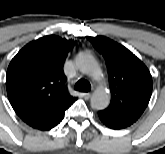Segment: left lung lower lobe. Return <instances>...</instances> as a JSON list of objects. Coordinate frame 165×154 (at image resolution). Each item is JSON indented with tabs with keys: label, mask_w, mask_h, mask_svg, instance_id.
I'll use <instances>...</instances> for the list:
<instances>
[{
	"label": "left lung lower lobe",
	"mask_w": 165,
	"mask_h": 154,
	"mask_svg": "<svg viewBox=\"0 0 165 154\" xmlns=\"http://www.w3.org/2000/svg\"><path fill=\"white\" fill-rule=\"evenodd\" d=\"M99 118L100 120L108 127L112 128V129H122L125 128L127 126H130L131 123L120 120V119H116L113 117H110L104 113H102L101 111L98 112Z\"/></svg>",
	"instance_id": "0a47b994"
}]
</instances>
